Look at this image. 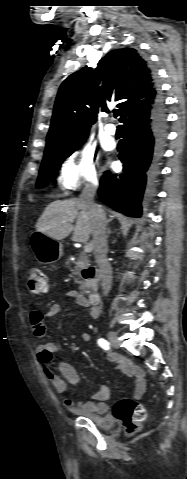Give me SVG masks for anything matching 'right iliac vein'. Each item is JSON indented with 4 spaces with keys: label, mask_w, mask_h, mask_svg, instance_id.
<instances>
[{
    "label": "right iliac vein",
    "mask_w": 187,
    "mask_h": 479,
    "mask_svg": "<svg viewBox=\"0 0 187 479\" xmlns=\"http://www.w3.org/2000/svg\"><path fill=\"white\" fill-rule=\"evenodd\" d=\"M107 336H108V339H109V342L111 343V345L113 347L117 348L118 345H119V341H118V337H117L116 333L113 332V331H109Z\"/></svg>",
    "instance_id": "right-iliac-vein-1"
}]
</instances>
